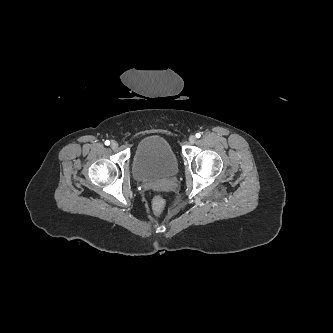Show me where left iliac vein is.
Masks as SVG:
<instances>
[{"instance_id": "obj_1", "label": "left iliac vein", "mask_w": 333, "mask_h": 333, "mask_svg": "<svg viewBox=\"0 0 333 333\" xmlns=\"http://www.w3.org/2000/svg\"><path fill=\"white\" fill-rule=\"evenodd\" d=\"M195 141H196V137H195L194 135H191V136L189 137V142H190L191 144H194Z\"/></svg>"}]
</instances>
